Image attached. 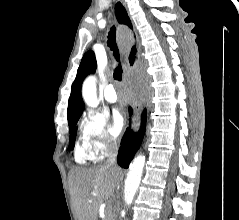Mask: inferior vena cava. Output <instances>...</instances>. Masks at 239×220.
I'll list each match as a JSON object with an SVG mask.
<instances>
[{
	"label": "inferior vena cava",
	"mask_w": 239,
	"mask_h": 220,
	"mask_svg": "<svg viewBox=\"0 0 239 220\" xmlns=\"http://www.w3.org/2000/svg\"><path fill=\"white\" fill-rule=\"evenodd\" d=\"M106 156H107V163L109 166H112L116 163V157H117V143L113 140H108L106 142Z\"/></svg>",
	"instance_id": "1"
}]
</instances>
